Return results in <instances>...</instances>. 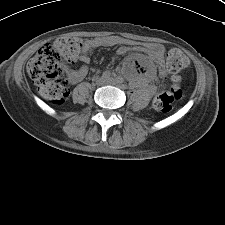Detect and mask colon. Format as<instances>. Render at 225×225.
<instances>
[{"mask_svg": "<svg viewBox=\"0 0 225 225\" xmlns=\"http://www.w3.org/2000/svg\"><path fill=\"white\" fill-rule=\"evenodd\" d=\"M80 52V39L62 36L44 44L29 61L26 72L37 84L39 94L52 104H63L69 96V85L62 78L64 63H74ZM188 64L186 55L178 49L169 51L166 66L162 74H175ZM183 96V91L175 84L170 91L159 93L153 100V106L161 112H168L176 101Z\"/></svg>", "mask_w": 225, "mask_h": 225, "instance_id": "obj_1", "label": "colon"}]
</instances>
